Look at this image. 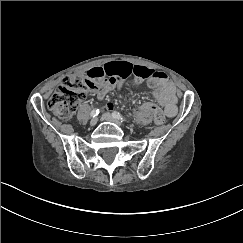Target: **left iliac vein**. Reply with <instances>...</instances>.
<instances>
[{
  "instance_id": "left-iliac-vein-1",
  "label": "left iliac vein",
  "mask_w": 243,
  "mask_h": 243,
  "mask_svg": "<svg viewBox=\"0 0 243 243\" xmlns=\"http://www.w3.org/2000/svg\"><path fill=\"white\" fill-rule=\"evenodd\" d=\"M102 118H103L104 120H106V121L112 122V123H114V124H116V125L122 127V123H121L119 120H117V119H116L112 114H110V113H104V114L102 115Z\"/></svg>"
}]
</instances>
